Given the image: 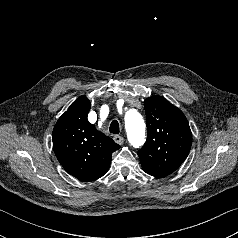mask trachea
<instances>
[{
    "label": "trachea",
    "instance_id": "obj_1",
    "mask_svg": "<svg viewBox=\"0 0 238 238\" xmlns=\"http://www.w3.org/2000/svg\"><path fill=\"white\" fill-rule=\"evenodd\" d=\"M109 130H110V133H113V134H119L120 132V127H119V123L117 120H113L110 124V127H109Z\"/></svg>",
    "mask_w": 238,
    "mask_h": 238
}]
</instances>
